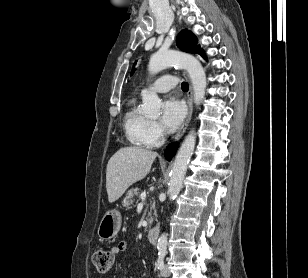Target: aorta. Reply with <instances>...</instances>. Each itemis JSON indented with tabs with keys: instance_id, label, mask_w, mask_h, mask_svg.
I'll return each instance as SVG.
<instances>
[{
	"instance_id": "762f6f07",
	"label": "aorta",
	"mask_w": 308,
	"mask_h": 278,
	"mask_svg": "<svg viewBox=\"0 0 308 278\" xmlns=\"http://www.w3.org/2000/svg\"><path fill=\"white\" fill-rule=\"evenodd\" d=\"M170 66H179L189 74L194 92V103L200 105L205 96L206 74L201 63L192 55L179 51H159L151 56L148 70L151 75L157 74ZM143 112L149 117L160 115L161 101L154 92L143 95ZM196 143V134L192 129L183 141L173 164L171 179L169 182V199L174 200L181 191L183 180L187 171V166ZM167 246V234H162L157 243L159 250H165Z\"/></svg>"
}]
</instances>
